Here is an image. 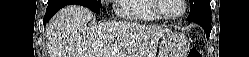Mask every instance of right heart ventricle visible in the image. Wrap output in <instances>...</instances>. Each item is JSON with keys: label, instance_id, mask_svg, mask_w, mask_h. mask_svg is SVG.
I'll return each mask as SVG.
<instances>
[{"label": "right heart ventricle", "instance_id": "1", "mask_svg": "<svg viewBox=\"0 0 249 57\" xmlns=\"http://www.w3.org/2000/svg\"><path fill=\"white\" fill-rule=\"evenodd\" d=\"M117 13L129 21H156L160 17L152 9L153 0H119Z\"/></svg>", "mask_w": 249, "mask_h": 57}]
</instances>
